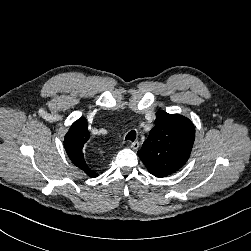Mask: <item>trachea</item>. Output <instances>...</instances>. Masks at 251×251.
Instances as JSON below:
<instances>
[{
  "label": "trachea",
  "instance_id": "obj_1",
  "mask_svg": "<svg viewBox=\"0 0 251 251\" xmlns=\"http://www.w3.org/2000/svg\"><path fill=\"white\" fill-rule=\"evenodd\" d=\"M136 139V131L131 130L125 137V140L134 141Z\"/></svg>",
  "mask_w": 251,
  "mask_h": 251
}]
</instances>
